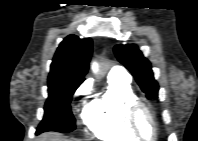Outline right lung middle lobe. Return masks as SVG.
Returning a JSON list of instances; mask_svg holds the SVG:
<instances>
[{
  "mask_svg": "<svg viewBox=\"0 0 198 141\" xmlns=\"http://www.w3.org/2000/svg\"><path fill=\"white\" fill-rule=\"evenodd\" d=\"M83 81H48V99L45 113L36 134L45 131L70 132L75 129V118L70 102L75 90Z\"/></svg>",
  "mask_w": 198,
  "mask_h": 141,
  "instance_id": "right-lung-middle-lobe-1",
  "label": "right lung middle lobe"
}]
</instances>
